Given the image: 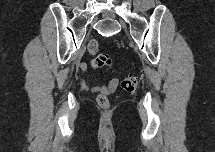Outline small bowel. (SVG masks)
<instances>
[{
    "instance_id": "small-bowel-1",
    "label": "small bowel",
    "mask_w": 215,
    "mask_h": 152,
    "mask_svg": "<svg viewBox=\"0 0 215 152\" xmlns=\"http://www.w3.org/2000/svg\"><path fill=\"white\" fill-rule=\"evenodd\" d=\"M83 69H85V67H83ZM82 86H83V89L90 91V92L107 93V92L113 91L117 88L118 80L115 78V79H112L108 85H96L93 87H90L83 82Z\"/></svg>"
}]
</instances>
